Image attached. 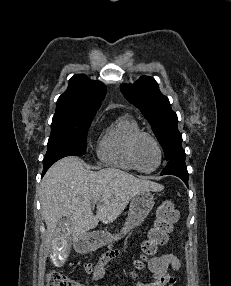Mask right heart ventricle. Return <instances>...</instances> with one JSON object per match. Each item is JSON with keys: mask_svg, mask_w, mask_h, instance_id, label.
<instances>
[{"mask_svg": "<svg viewBox=\"0 0 231 286\" xmlns=\"http://www.w3.org/2000/svg\"><path fill=\"white\" fill-rule=\"evenodd\" d=\"M140 130L137 121L129 114H123L113 121L100 135L97 156L105 164L127 171H134L128 153L131 136Z\"/></svg>", "mask_w": 231, "mask_h": 286, "instance_id": "obj_1", "label": "right heart ventricle"}]
</instances>
